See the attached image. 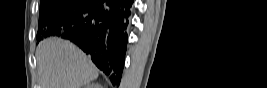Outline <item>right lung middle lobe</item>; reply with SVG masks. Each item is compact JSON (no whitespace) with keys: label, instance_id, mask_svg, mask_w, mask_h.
Masks as SVG:
<instances>
[{"label":"right lung middle lobe","instance_id":"1","mask_svg":"<svg viewBox=\"0 0 267 88\" xmlns=\"http://www.w3.org/2000/svg\"><path fill=\"white\" fill-rule=\"evenodd\" d=\"M82 0H41L39 13V28L37 40L40 41L44 36V28L53 20L70 13Z\"/></svg>","mask_w":267,"mask_h":88}]
</instances>
